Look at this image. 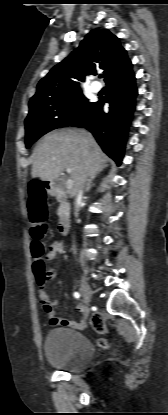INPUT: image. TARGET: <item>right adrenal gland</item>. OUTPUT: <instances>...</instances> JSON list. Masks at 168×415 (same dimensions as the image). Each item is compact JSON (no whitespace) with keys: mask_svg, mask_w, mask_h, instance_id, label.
<instances>
[{"mask_svg":"<svg viewBox=\"0 0 168 415\" xmlns=\"http://www.w3.org/2000/svg\"><path fill=\"white\" fill-rule=\"evenodd\" d=\"M95 177L96 175L88 179L87 184H86V189H85L86 192H89V190L91 189V184H92V181L95 179Z\"/></svg>","mask_w":168,"mask_h":415,"instance_id":"right-adrenal-gland-1","label":"right adrenal gland"}]
</instances>
